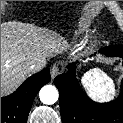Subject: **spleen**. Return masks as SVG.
Listing matches in <instances>:
<instances>
[{"label":"spleen","mask_w":123,"mask_h":123,"mask_svg":"<svg viewBox=\"0 0 123 123\" xmlns=\"http://www.w3.org/2000/svg\"><path fill=\"white\" fill-rule=\"evenodd\" d=\"M81 83L88 96L98 102L110 101L116 94L113 79L100 69L87 72Z\"/></svg>","instance_id":"1"}]
</instances>
